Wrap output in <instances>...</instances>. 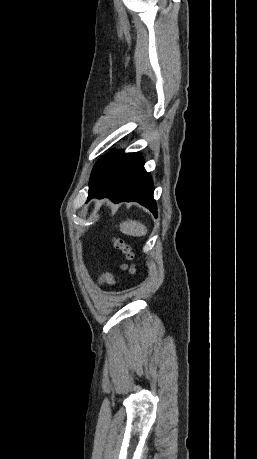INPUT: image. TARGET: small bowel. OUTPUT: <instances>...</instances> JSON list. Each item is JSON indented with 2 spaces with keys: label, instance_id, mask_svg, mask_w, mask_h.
<instances>
[{
  "label": "small bowel",
  "instance_id": "small-bowel-1",
  "mask_svg": "<svg viewBox=\"0 0 257 459\" xmlns=\"http://www.w3.org/2000/svg\"><path fill=\"white\" fill-rule=\"evenodd\" d=\"M99 284L101 285H114L116 284V278L110 272H104L98 279Z\"/></svg>",
  "mask_w": 257,
  "mask_h": 459
}]
</instances>
